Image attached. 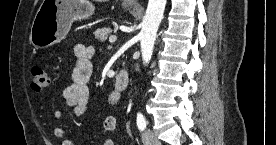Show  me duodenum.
Segmentation results:
<instances>
[{"label": "duodenum", "instance_id": "1", "mask_svg": "<svg viewBox=\"0 0 276 145\" xmlns=\"http://www.w3.org/2000/svg\"><path fill=\"white\" fill-rule=\"evenodd\" d=\"M129 84V74L126 70L122 69L118 72L115 82H114V90L121 94L127 88Z\"/></svg>", "mask_w": 276, "mask_h": 145}]
</instances>
